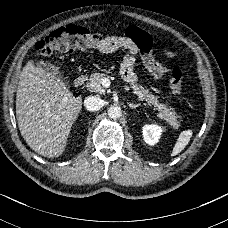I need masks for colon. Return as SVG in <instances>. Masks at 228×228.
<instances>
[{"label": "colon", "mask_w": 228, "mask_h": 228, "mask_svg": "<svg viewBox=\"0 0 228 228\" xmlns=\"http://www.w3.org/2000/svg\"><path fill=\"white\" fill-rule=\"evenodd\" d=\"M105 35L90 31L83 27L69 25L61 27L42 38L35 46L37 57H48L56 51L62 50H91L103 43ZM170 88L176 97H181L183 86V72L173 69L170 73Z\"/></svg>", "instance_id": "1"}]
</instances>
